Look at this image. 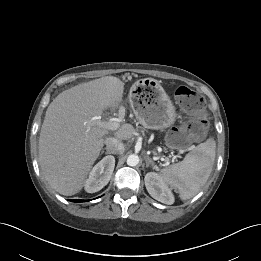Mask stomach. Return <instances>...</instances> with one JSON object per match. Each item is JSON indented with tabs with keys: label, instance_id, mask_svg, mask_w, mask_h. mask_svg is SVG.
<instances>
[{
	"label": "stomach",
	"instance_id": "0dacf381",
	"mask_svg": "<svg viewBox=\"0 0 261 261\" xmlns=\"http://www.w3.org/2000/svg\"><path fill=\"white\" fill-rule=\"evenodd\" d=\"M146 87L143 98L133 97L135 114L144 128L163 131L175 122V106L157 80H149Z\"/></svg>",
	"mask_w": 261,
	"mask_h": 261
}]
</instances>
